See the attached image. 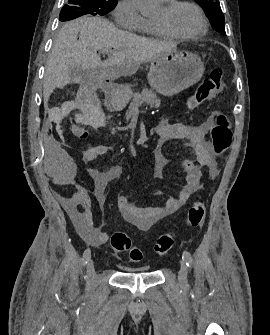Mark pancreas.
Instances as JSON below:
<instances>
[{
	"mask_svg": "<svg viewBox=\"0 0 270 335\" xmlns=\"http://www.w3.org/2000/svg\"><path fill=\"white\" fill-rule=\"evenodd\" d=\"M144 102H146V106H151V108H159L160 106V100L157 98L155 92L144 88L141 94H134L133 102L130 104V110H132V108H139ZM131 116V112H127L126 120H130Z\"/></svg>",
	"mask_w": 270,
	"mask_h": 335,
	"instance_id": "pancreas-1",
	"label": "pancreas"
}]
</instances>
